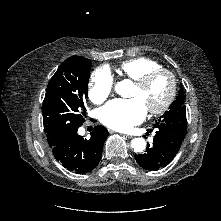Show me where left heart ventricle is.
<instances>
[{"label":"left heart ventricle","instance_id":"left-heart-ventricle-1","mask_svg":"<svg viewBox=\"0 0 221 221\" xmlns=\"http://www.w3.org/2000/svg\"><path fill=\"white\" fill-rule=\"evenodd\" d=\"M168 91L169 79L167 76L161 75L143 89L135 85L131 96L133 98H140L146 108H150L161 105L165 100Z\"/></svg>","mask_w":221,"mask_h":221}]
</instances>
